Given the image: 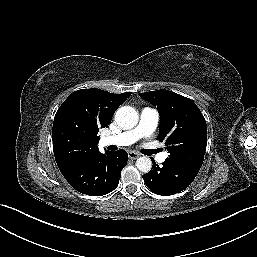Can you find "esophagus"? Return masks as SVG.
<instances>
[{"label":"esophagus","instance_id":"1","mask_svg":"<svg viewBox=\"0 0 257 257\" xmlns=\"http://www.w3.org/2000/svg\"><path fill=\"white\" fill-rule=\"evenodd\" d=\"M139 156H140V154L135 152V151H129L128 152V157L130 159H137Z\"/></svg>","mask_w":257,"mask_h":257}]
</instances>
